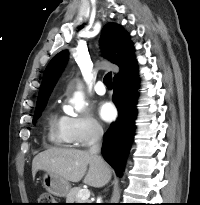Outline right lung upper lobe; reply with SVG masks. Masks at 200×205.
<instances>
[{
    "instance_id": "right-lung-upper-lobe-1",
    "label": "right lung upper lobe",
    "mask_w": 200,
    "mask_h": 205,
    "mask_svg": "<svg viewBox=\"0 0 200 205\" xmlns=\"http://www.w3.org/2000/svg\"><path fill=\"white\" fill-rule=\"evenodd\" d=\"M100 42L108 60L120 67V72L114 78L136 64L133 57V44L130 42L129 35L119 25L115 23L105 25ZM67 59L68 51L63 50L50 61L44 72L37 102L49 98Z\"/></svg>"
}]
</instances>
